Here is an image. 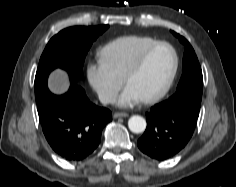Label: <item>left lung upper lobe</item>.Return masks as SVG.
Returning a JSON list of instances; mask_svg holds the SVG:
<instances>
[{
	"instance_id": "left-lung-upper-lobe-1",
	"label": "left lung upper lobe",
	"mask_w": 236,
	"mask_h": 187,
	"mask_svg": "<svg viewBox=\"0 0 236 187\" xmlns=\"http://www.w3.org/2000/svg\"><path fill=\"white\" fill-rule=\"evenodd\" d=\"M184 44L182 77L177 86L176 93L163 103L167 106H175L180 103L191 105L200 109L203 88L202 70L197 56L190 43L179 34L173 32Z\"/></svg>"
}]
</instances>
